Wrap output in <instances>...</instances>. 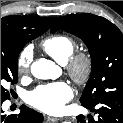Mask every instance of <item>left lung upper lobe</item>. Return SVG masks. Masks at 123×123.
<instances>
[{"instance_id": "left-lung-upper-lobe-1", "label": "left lung upper lobe", "mask_w": 123, "mask_h": 123, "mask_svg": "<svg viewBox=\"0 0 123 123\" xmlns=\"http://www.w3.org/2000/svg\"><path fill=\"white\" fill-rule=\"evenodd\" d=\"M60 29L76 35L87 45L91 59V76L80 98L82 105L123 96V34L107 19L93 14L60 18L51 32Z\"/></svg>"}]
</instances>
